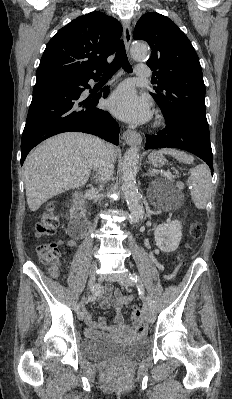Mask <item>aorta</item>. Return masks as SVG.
<instances>
[{"instance_id":"aorta-1","label":"aorta","mask_w":232,"mask_h":399,"mask_svg":"<svg viewBox=\"0 0 232 399\" xmlns=\"http://www.w3.org/2000/svg\"><path fill=\"white\" fill-rule=\"evenodd\" d=\"M148 46L145 43H134L130 49L135 60H142L147 57ZM139 161V150L136 147L129 148L122 163V193L130 211L129 219L132 222L139 221L143 216V206L140 203V194L136 186V174Z\"/></svg>"}]
</instances>
